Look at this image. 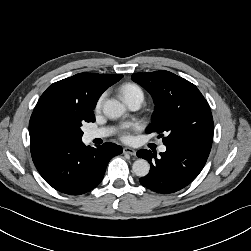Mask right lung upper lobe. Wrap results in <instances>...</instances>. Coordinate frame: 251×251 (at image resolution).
I'll use <instances>...</instances> for the list:
<instances>
[{
	"instance_id": "1",
	"label": "right lung upper lobe",
	"mask_w": 251,
	"mask_h": 251,
	"mask_svg": "<svg viewBox=\"0 0 251 251\" xmlns=\"http://www.w3.org/2000/svg\"><path fill=\"white\" fill-rule=\"evenodd\" d=\"M123 75L79 73L49 86L38 100L29 122L31 143L51 141L52 122L59 115H88L100 95Z\"/></svg>"
}]
</instances>
